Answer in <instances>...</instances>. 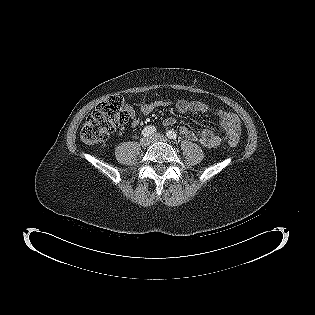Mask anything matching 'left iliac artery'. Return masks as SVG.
Returning <instances> with one entry per match:
<instances>
[{
	"label": "left iliac artery",
	"mask_w": 315,
	"mask_h": 315,
	"mask_svg": "<svg viewBox=\"0 0 315 315\" xmlns=\"http://www.w3.org/2000/svg\"><path fill=\"white\" fill-rule=\"evenodd\" d=\"M166 135L170 139H173V140L177 139V134L174 131H172V130L167 131Z\"/></svg>",
	"instance_id": "1"
}]
</instances>
